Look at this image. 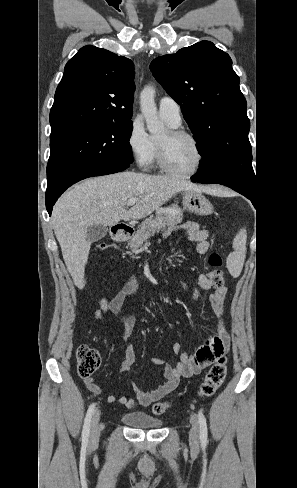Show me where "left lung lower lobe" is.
<instances>
[{
  "mask_svg": "<svg viewBox=\"0 0 297 488\" xmlns=\"http://www.w3.org/2000/svg\"><path fill=\"white\" fill-rule=\"evenodd\" d=\"M191 179L192 182H198L204 184L217 183V184L225 185L235 190L236 192L244 195L245 197L250 199L252 203H255V195H256L255 185L248 183L242 179L233 176H216L207 179H201L197 175H193Z\"/></svg>",
  "mask_w": 297,
  "mask_h": 488,
  "instance_id": "obj_1",
  "label": "left lung lower lobe"
}]
</instances>
